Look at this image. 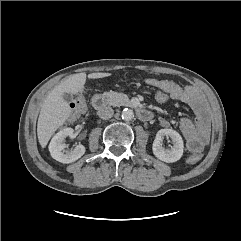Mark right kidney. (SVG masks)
I'll return each instance as SVG.
<instances>
[{"label":"right kidney","mask_w":241,"mask_h":241,"mask_svg":"<svg viewBox=\"0 0 241 241\" xmlns=\"http://www.w3.org/2000/svg\"><path fill=\"white\" fill-rule=\"evenodd\" d=\"M74 129L73 128H64L54 135L50 144L49 151L53 159L61 163H72L85 153V147L81 144L76 145L72 150H66V145L64 139L66 137H73Z\"/></svg>","instance_id":"right-kidney-1"}]
</instances>
